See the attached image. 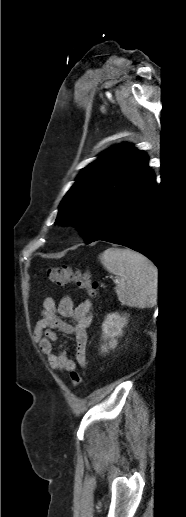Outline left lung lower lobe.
Wrapping results in <instances>:
<instances>
[{"instance_id": "1", "label": "left lung lower lobe", "mask_w": 186, "mask_h": 517, "mask_svg": "<svg viewBox=\"0 0 186 517\" xmlns=\"http://www.w3.org/2000/svg\"><path fill=\"white\" fill-rule=\"evenodd\" d=\"M157 202L155 176L148 168L106 213L89 243L103 240L129 247L147 256L161 270L156 250Z\"/></svg>"}]
</instances>
